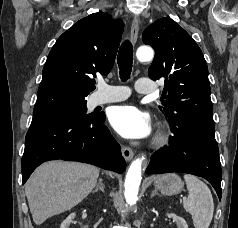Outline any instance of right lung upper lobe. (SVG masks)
Returning <instances> with one entry per match:
<instances>
[{"label":"right lung upper lobe","instance_id":"cb5924a9","mask_svg":"<svg viewBox=\"0 0 238 228\" xmlns=\"http://www.w3.org/2000/svg\"><path fill=\"white\" fill-rule=\"evenodd\" d=\"M122 31L121 19L100 12L64 32L44 65L34 116H47L64 106L85 102L96 76L110 72Z\"/></svg>","mask_w":238,"mask_h":228}]
</instances>
